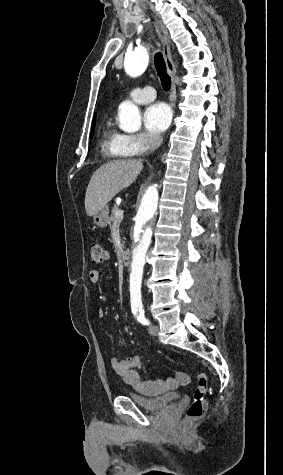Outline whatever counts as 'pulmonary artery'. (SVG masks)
<instances>
[{
	"label": "pulmonary artery",
	"instance_id": "e3ab8cb5",
	"mask_svg": "<svg viewBox=\"0 0 283 475\" xmlns=\"http://www.w3.org/2000/svg\"><path fill=\"white\" fill-rule=\"evenodd\" d=\"M128 97L136 103H147L156 97V89L152 87H135L127 90Z\"/></svg>",
	"mask_w": 283,
	"mask_h": 475
}]
</instances>
